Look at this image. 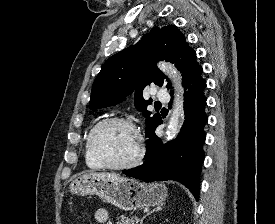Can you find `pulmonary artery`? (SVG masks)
Segmentation results:
<instances>
[{
  "label": "pulmonary artery",
  "mask_w": 275,
  "mask_h": 224,
  "mask_svg": "<svg viewBox=\"0 0 275 224\" xmlns=\"http://www.w3.org/2000/svg\"><path fill=\"white\" fill-rule=\"evenodd\" d=\"M155 96H156V99L161 102H167L170 98L169 94L164 89H161V88L156 89Z\"/></svg>",
  "instance_id": "e3ab8cb5"
}]
</instances>
